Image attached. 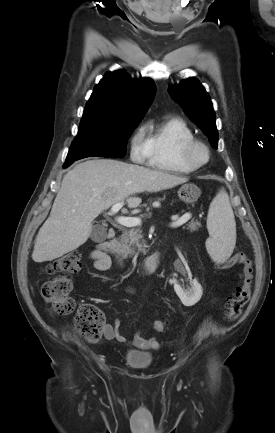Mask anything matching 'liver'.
Segmentation results:
<instances>
[{
    "label": "liver",
    "instance_id": "6515ba94",
    "mask_svg": "<svg viewBox=\"0 0 275 433\" xmlns=\"http://www.w3.org/2000/svg\"><path fill=\"white\" fill-rule=\"evenodd\" d=\"M188 178L112 159L79 163L63 177L50 216L40 228L32 259L52 261L84 244L93 220L118 202L136 208L141 198L132 195L173 188Z\"/></svg>",
    "mask_w": 275,
    "mask_h": 433
}]
</instances>
